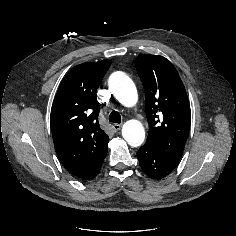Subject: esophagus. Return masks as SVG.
Masks as SVG:
<instances>
[{
  "mask_svg": "<svg viewBox=\"0 0 236 236\" xmlns=\"http://www.w3.org/2000/svg\"><path fill=\"white\" fill-rule=\"evenodd\" d=\"M111 127H112V129L114 130V131H118V130H120L121 129V125L120 124H112L111 125Z\"/></svg>",
  "mask_w": 236,
  "mask_h": 236,
  "instance_id": "34e87169",
  "label": "esophagus"
}]
</instances>
